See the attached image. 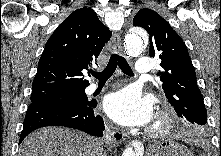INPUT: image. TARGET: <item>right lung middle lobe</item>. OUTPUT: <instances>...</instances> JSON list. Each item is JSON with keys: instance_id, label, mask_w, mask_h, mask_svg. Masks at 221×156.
I'll use <instances>...</instances> for the list:
<instances>
[{"instance_id": "right-lung-middle-lobe-1", "label": "right lung middle lobe", "mask_w": 221, "mask_h": 156, "mask_svg": "<svg viewBox=\"0 0 221 156\" xmlns=\"http://www.w3.org/2000/svg\"><path fill=\"white\" fill-rule=\"evenodd\" d=\"M90 102L91 101H88L85 90L57 94L38 100H31V103L71 105V106H86Z\"/></svg>"}]
</instances>
